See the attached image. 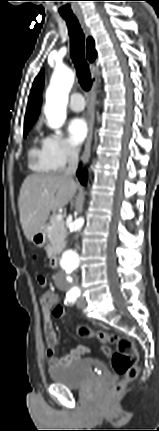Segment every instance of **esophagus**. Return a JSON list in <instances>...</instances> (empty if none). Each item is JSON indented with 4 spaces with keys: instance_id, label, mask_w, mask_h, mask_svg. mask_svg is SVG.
Listing matches in <instances>:
<instances>
[{
    "instance_id": "34e87169",
    "label": "esophagus",
    "mask_w": 159,
    "mask_h": 431,
    "mask_svg": "<svg viewBox=\"0 0 159 431\" xmlns=\"http://www.w3.org/2000/svg\"><path fill=\"white\" fill-rule=\"evenodd\" d=\"M78 19L84 33L87 36L89 34L88 26L86 25L83 17H78ZM91 76H92V89L90 93L89 106H88V111H89L88 122H87L88 135L85 142L84 151L81 157L83 167L86 166L91 154V143H92L93 128H94V104H95L96 92H97V74H96V68L94 65H91Z\"/></svg>"
}]
</instances>
